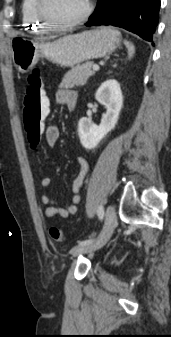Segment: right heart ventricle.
Returning <instances> with one entry per match:
<instances>
[{
  "label": "right heart ventricle",
  "instance_id": "right-heart-ventricle-1",
  "mask_svg": "<svg viewBox=\"0 0 171 337\" xmlns=\"http://www.w3.org/2000/svg\"><path fill=\"white\" fill-rule=\"evenodd\" d=\"M22 24L26 30L44 33L48 28L39 20L37 15V0H22Z\"/></svg>",
  "mask_w": 171,
  "mask_h": 337
}]
</instances>
